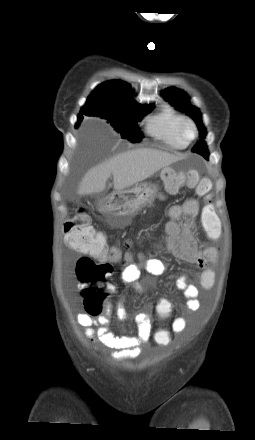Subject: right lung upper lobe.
I'll list each match as a JSON object with an SVG mask.
<instances>
[{
  "instance_id": "obj_1",
  "label": "right lung upper lobe",
  "mask_w": 255,
  "mask_h": 440,
  "mask_svg": "<svg viewBox=\"0 0 255 440\" xmlns=\"http://www.w3.org/2000/svg\"><path fill=\"white\" fill-rule=\"evenodd\" d=\"M133 94L134 91L129 84L120 80H113L100 84L91 93L88 100L109 105H128L136 103L132 101Z\"/></svg>"
}]
</instances>
